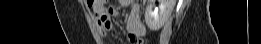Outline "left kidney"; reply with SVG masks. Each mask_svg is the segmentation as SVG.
I'll return each instance as SVG.
<instances>
[{
	"label": "left kidney",
	"mask_w": 261,
	"mask_h": 44,
	"mask_svg": "<svg viewBox=\"0 0 261 44\" xmlns=\"http://www.w3.org/2000/svg\"><path fill=\"white\" fill-rule=\"evenodd\" d=\"M175 0H159V8L154 10L152 4L148 5L145 10V21L148 28L152 31L159 30L171 15Z\"/></svg>",
	"instance_id": "left-kidney-1"
}]
</instances>
